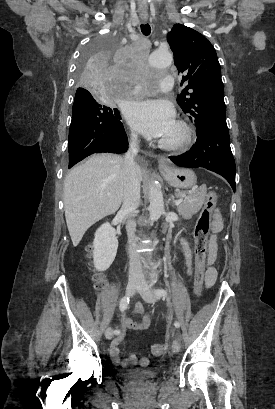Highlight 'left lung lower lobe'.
I'll list each match as a JSON object with an SVG mask.
<instances>
[{
	"label": "left lung lower lobe",
	"instance_id": "left-lung-lower-lobe-1",
	"mask_svg": "<svg viewBox=\"0 0 275 409\" xmlns=\"http://www.w3.org/2000/svg\"><path fill=\"white\" fill-rule=\"evenodd\" d=\"M195 145L187 152L170 157L183 167H203L223 176L235 191V161L227 126L213 125L197 134Z\"/></svg>",
	"mask_w": 275,
	"mask_h": 409
}]
</instances>
